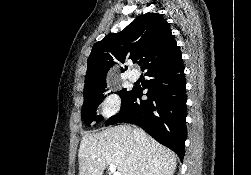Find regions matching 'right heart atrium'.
<instances>
[{
	"label": "right heart atrium",
	"instance_id": "right-heart-atrium-1",
	"mask_svg": "<svg viewBox=\"0 0 251 175\" xmlns=\"http://www.w3.org/2000/svg\"><path fill=\"white\" fill-rule=\"evenodd\" d=\"M120 103H121L120 98L115 92L113 91L106 92L99 103L98 107L99 114L103 118H110L119 111Z\"/></svg>",
	"mask_w": 251,
	"mask_h": 175
}]
</instances>
